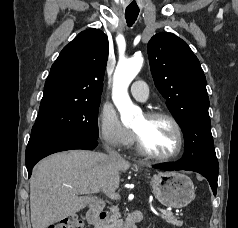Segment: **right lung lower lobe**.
Segmentation results:
<instances>
[{"label":"right lung lower lobe","mask_w":238,"mask_h":228,"mask_svg":"<svg viewBox=\"0 0 238 228\" xmlns=\"http://www.w3.org/2000/svg\"><path fill=\"white\" fill-rule=\"evenodd\" d=\"M97 139L76 133H32L26 148L25 163L31 175L32 168L42 158L65 150L94 149Z\"/></svg>","instance_id":"obj_1"}]
</instances>
